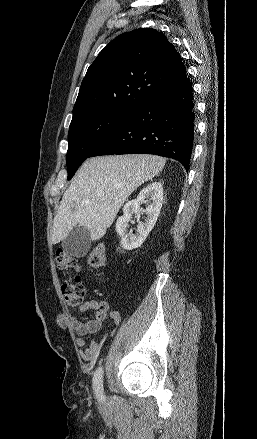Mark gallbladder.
Listing matches in <instances>:
<instances>
[{"label":"gallbladder","mask_w":257,"mask_h":439,"mask_svg":"<svg viewBox=\"0 0 257 439\" xmlns=\"http://www.w3.org/2000/svg\"><path fill=\"white\" fill-rule=\"evenodd\" d=\"M64 251L74 257H83L91 246L90 233L87 228L76 226L62 241Z\"/></svg>","instance_id":"gallbladder-1"}]
</instances>
